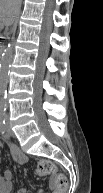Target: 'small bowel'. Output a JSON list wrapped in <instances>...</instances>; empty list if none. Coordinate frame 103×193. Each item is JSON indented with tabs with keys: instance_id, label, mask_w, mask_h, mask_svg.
I'll use <instances>...</instances> for the list:
<instances>
[{
	"instance_id": "1",
	"label": "small bowel",
	"mask_w": 103,
	"mask_h": 193,
	"mask_svg": "<svg viewBox=\"0 0 103 193\" xmlns=\"http://www.w3.org/2000/svg\"><path fill=\"white\" fill-rule=\"evenodd\" d=\"M12 154L15 158V160L19 163H25L26 162V156L16 147H12ZM13 172L11 170H5L3 172V176L0 179V192L1 193H12L13 191ZM51 189L50 191L46 193H61V191L55 186L53 180L50 182ZM17 193H28L27 189H20L17 191Z\"/></svg>"
}]
</instances>
